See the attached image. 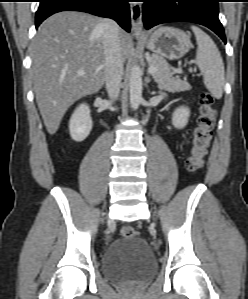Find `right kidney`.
<instances>
[{
  "instance_id": "ca27d5eb",
  "label": "right kidney",
  "mask_w": 248,
  "mask_h": 299,
  "mask_svg": "<svg viewBox=\"0 0 248 299\" xmlns=\"http://www.w3.org/2000/svg\"><path fill=\"white\" fill-rule=\"evenodd\" d=\"M92 119L87 104H80L69 121L70 136L76 142L85 140L92 130Z\"/></svg>"
}]
</instances>
